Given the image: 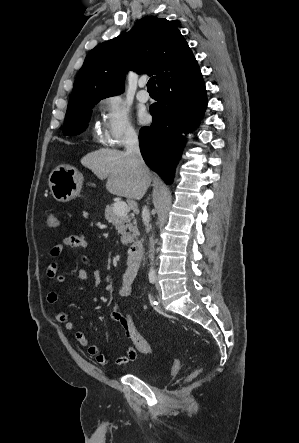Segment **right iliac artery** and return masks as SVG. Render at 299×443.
I'll use <instances>...</instances> for the list:
<instances>
[{
	"mask_svg": "<svg viewBox=\"0 0 299 443\" xmlns=\"http://www.w3.org/2000/svg\"><path fill=\"white\" fill-rule=\"evenodd\" d=\"M156 279H157V277H156L155 272H150V273H149V281H150L152 284H154V283L156 282Z\"/></svg>",
	"mask_w": 299,
	"mask_h": 443,
	"instance_id": "1",
	"label": "right iliac artery"
}]
</instances>
